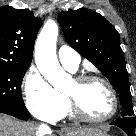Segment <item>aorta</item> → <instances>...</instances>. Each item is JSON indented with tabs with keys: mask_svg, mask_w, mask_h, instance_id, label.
Returning a JSON list of instances; mask_svg holds the SVG:
<instances>
[{
	"mask_svg": "<svg viewBox=\"0 0 136 136\" xmlns=\"http://www.w3.org/2000/svg\"><path fill=\"white\" fill-rule=\"evenodd\" d=\"M58 37V26L53 20L45 23L35 45V62L43 77L57 91H63L65 84L70 80L60 66L56 56V42Z\"/></svg>",
	"mask_w": 136,
	"mask_h": 136,
	"instance_id": "1",
	"label": "aorta"
}]
</instances>
